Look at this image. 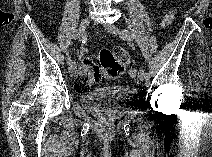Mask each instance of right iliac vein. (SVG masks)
<instances>
[{"label": "right iliac vein", "instance_id": "right-iliac-vein-1", "mask_svg": "<svg viewBox=\"0 0 212 157\" xmlns=\"http://www.w3.org/2000/svg\"><path fill=\"white\" fill-rule=\"evenodd\" d=\"M90 25V20L88 18L83 19L80 23L79 29L77 31V36L79 39H81L83 37V34L86 30V28ZM76 69V64L75 62H72L71 64H69L68 70L70 73H73Z\"/></svg>", "mask_w": 212, "mask_h": 157}]
</instances>
